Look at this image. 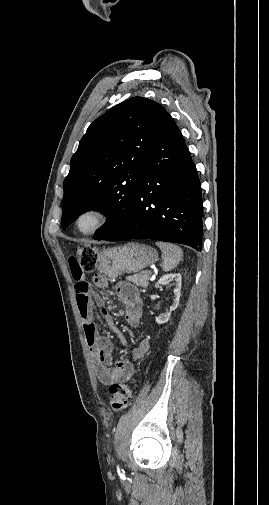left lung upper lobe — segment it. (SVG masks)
<instances>
[{
    "instance_id": "obj_1",
    "label": "left lung upper lobe",
    "mask_w": 269,
    "mask_h": 505,
    "mask_svg": "<svg viewBox=\"0 0 269 505\" xmlns=\"http://www.w3.org/2000/svg\"><path fill=\"white\" fill-rule=\"evenodd\" d=\"M166 114L157 102L133 97L89 126L63 183V229L91 208L109 216L97 239L127 221L149 146Z\"/></svg>"
}]
</instances>
